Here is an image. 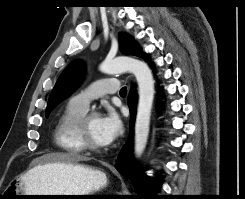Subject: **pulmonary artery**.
<instances>
[{
    "label": "pulmonary artery",
    "mask_w": 245,
    "mask_h": 199,
    "mask_svg": "<svg viewBox=\"0 0 245 199\" xmlns=\"http://www.w3.org/2000/svg\"><path fill=\"white\" fill-rule=\"evenodd\" d=\"M119 81L116 79H103L96 81L89 88L72 97L70 104L87 111L89 103L102 95L114 94L119 89Z\"/></svg>",
    "instance_id": "1"
}]
</instances>
